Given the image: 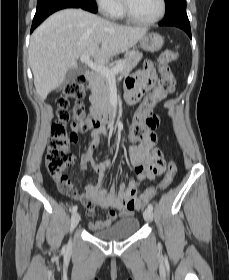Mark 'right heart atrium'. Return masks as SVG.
Masks as SVG:
<instances>
[{"label": "right heart atrium", "mask_w": 229, "mask_h": 280, "mask_svg": "<svg viewBox=\"0 0 229 280\" xmlns=\"http://www.w3.org/2000/svg\"><path fill=\"white\" fill-rule=\"evenodd\" d=\"M102 14L108 18L116 17L121 11V0H95Z\"/></svg>", "instance_id": "right-heart-atrium-1"}]
</instances>
